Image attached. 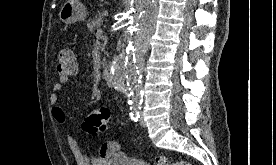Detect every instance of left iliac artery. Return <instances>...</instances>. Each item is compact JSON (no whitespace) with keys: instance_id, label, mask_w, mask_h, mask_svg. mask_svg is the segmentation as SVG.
<instances>
[{"instance_id":"left-iliac-artery-1","label":"left iliac artery","mask_w":276,"mask_h":165,"mask_svg":"<svg viewBox=\"0 0 276 165\" xmlns=\"http://www.w3.org/2000/svg\"><path fill=\"white\" fill-rule=\"evenodd\" d=\"M130 105V117L133 121H138L140 117V109H141V101L140 100H132L128 102Z\"/></svg>"}]
</instances>
